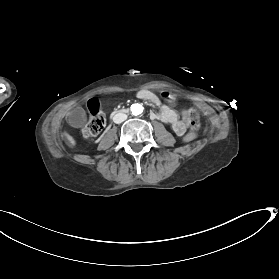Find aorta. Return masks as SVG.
Segmentation results:
<instances>
[{"label": "aorta", "instance_id": "aorta-1", "mask_svg": "<svg viewBox=\"0 0 279 279\" xmlns=\"http://www.w3.org/2000/svg\"><path fill=\"white\" fill-rule=\"evenodd\" d=\"M143 109H144L143 106L140 105V104H138V103L133 104V105L131 106V111H132L133 115H139V114H141V113L143 112Z\"/></svg>", "mask_w": 279, "mask_h": 279}]
</instances>
